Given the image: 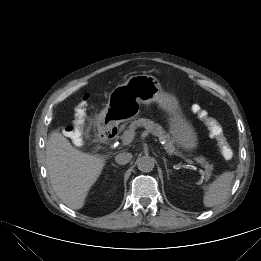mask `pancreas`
<instances>
[{"mask_svg": "<svg viewBox=\"0 0 261 261\" xmlns=\"http://www.w3.org/2000/svg\"><path fill=\"white\" fill-rule=\"evenodd\" d=\"M139 127H144L147 132L151 133L152 135L159 138V140L165 142V149L170 152L177 153L175 147H174V140L170 137L168 133L164 131L162 126L159 124H156L154 121H151L146 118H138L136 120H133L131 124L128 127V130L124 132V135L128 131H134ZM199 163L204 165L205 167V178L209 179L211 176V171L213 169V166L208 164L204 158H197L196 159Z\"/></svg>", "mask_w": 261, "mask_h": 261, "instance_id": "1", "label": "pancreas"}]
</instances>
